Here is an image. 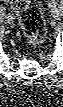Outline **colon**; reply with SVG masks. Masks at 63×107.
I'll use <instances>...</instances> for the list:
<instances>
[{"label": "colon", "mask_w": 63, "mask_h": 107, "mask_svg": "<svg viewBox=\"0 0 63 107\" xmlns=\"http://www.w3.org/2000/svg\"><path fill=\"white\" fill-rule=\"evenodd\" d=\"M12 7L18 15L28 43L38 45L45 35V23L40 8L30 0H13Z\"/></svg>", "instance_id": "1"}]
</instances>
